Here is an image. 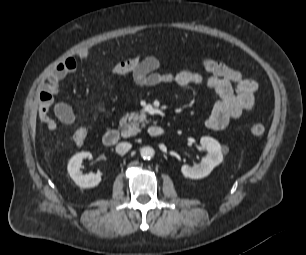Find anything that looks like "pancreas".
I'll return each instance as SVG.
<instances>
[{
	"mask_svg": "<svg viewBox=\"0 0 306 255\" xmlns=\"http://www.w3.org/2000/svg\"><path fill=\"white\" fill-rule=\"evenodd\" d=\"M146 123L147 120L144 113L131 112L126 114L119 121V126L122 127L121 135L124 138L136 135L141 131L140 125L144 127Z\"/></svg>",
	"mask_w": 306,
	"mask_h": 255,
	"instance_id": "1",
	"label": "pancreas"
}]
</instances>
